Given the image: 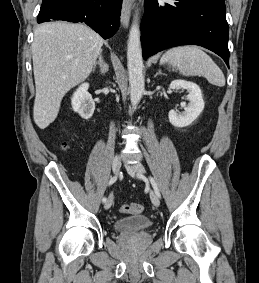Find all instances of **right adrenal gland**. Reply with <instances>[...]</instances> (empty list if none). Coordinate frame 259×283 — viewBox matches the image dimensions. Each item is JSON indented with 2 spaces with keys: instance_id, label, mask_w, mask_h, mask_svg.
<instances>
[{
  "instance_id": "right-adrenal-gland-1",
  "label": "right adrenal gland",
  "mask_w": 259,
  "mask_h": 283,
  "mask_svg": "<svg viewBox=\"0 0 259 283\" xmlns=\"http://www.w3.org/2000/svg\"><path fill=\"white\" fill-rule=\"evenodd\" d=\"M97 65L99 66L102 75H105L108 72L109 66L103 59L102 50L99 53V60L95 63L94 69L96 68Z\"/></svg>"
}]
</instances>
